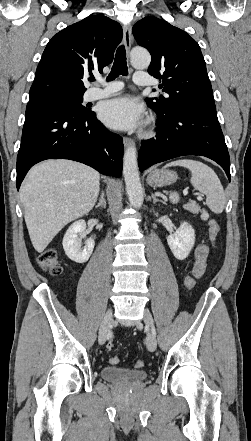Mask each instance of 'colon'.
Wrapping results in <instances>:
<instances>
[{
  "label": "colon",
  "instance_id": "1",
  "mask_svg": "<svg viewBox=\"0 0 251 441\" xmlns=\"http://www.w3.org/2000/svg\"><path fill=\"white\" fill-rule=\"evenodd\" d=\"M208 230H209L210 240L214 242L220 232L219 224L213 219L209 220ZM37 261L42 269H44L53 276H58L62 273V267L59 264L57 252L54 249H47L43 251L38 256ZM194 284H195L194 279L192 277H187V279L185 280L186 287L188 289H191L194 286ZM113 348H114V343L110 341L107 344V349L111 351ZM109 362L110 364L115 365L119 362V358L116 356L110 357ZM143 365L144 363L141 360H137L134 362L135 368H142Z\"/></svg>",
  "mask_w": 251,
  "mask_h": 441
}]
</instances>
